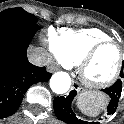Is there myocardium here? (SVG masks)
Instances as JSON below:
<instances>
[{
	"label": "myocardium",
	"instance_id": "1",
	"mask_svg": "<svg viewBox=\"0 0 124 124\" xmlns=\"http://www.w3.org/2000/svg\"><path fill=\"white\" fill-rule=\"evenodd\" d=\"M115 46L118 49L119 52V61L116 67L115 72L113 73V75L103 81V82H93L90 81L87 77H86V69L89 65V63L93 60V58L96 56V54L104 47L106 46ZM79 67H78V76L82 82V84L84 86H86L89 89L92 90H103L106 89L110 86H112L120 77L123 68H124V49L122 48V46L120 44H118L117 42L113 41V40H106V41H102L97 43L96 45H94L86 54L85 56L81 59V61L79 62Z\"/></svg>",
	"mask_w": 124,
	"mask_h": 124
}]
</instances>
